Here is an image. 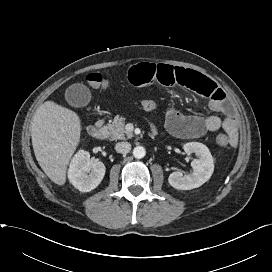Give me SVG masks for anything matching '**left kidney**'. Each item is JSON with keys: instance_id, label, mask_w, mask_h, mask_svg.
I'll use <instances>...</instances> for the list:
<instances>
[{"instance_id": "obj_1", "label": "left kidney", "mask_w": 272, "mask_h": 272, "mask_svg": "<svg viewBox=\"0 0 272 272\" xmlns=\"http://www.w3.org/2000/svg\"><path fill=\"white\" fill-rule=\"evenodd\" d=\"M183 148L187 155L195 153L197 156L191 162L194 172L191 175L183 176L182 171H175L169 175V184L178 190L198 188L207 182L213 174V157L207 146L199 142L186 143Z\"/></svg>"}]
</instances>
